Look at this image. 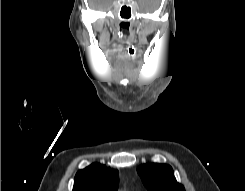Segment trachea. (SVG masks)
Wrapping results in <instances>:
<instances>
[{
	"label": "trachea",
	"instance_id": "1",
	"mask_svg": "<svg viewBox=\"0 0 245 191\" xmlns=\"http://www.w3.org/2000/svg\"><path fill=\"white\" fill-rule=\"evenodd\" d=\"M128 55H129L130 57H134V56H135V50L132 49V48H130V49L128 50Z\"/></svg>",
	"mask_w": 245,
	"mask_h": 191
}]
</instances>
